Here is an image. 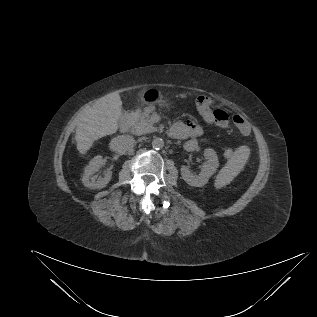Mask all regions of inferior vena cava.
Listing matches in <instances>:
<instances>
[{
	"label": "inferior vena cava",
	"mask_w": 317,
	"mask_h": 317,
	"mask_svg": "<svg viewBox=\"0 0 317 317\" xmlns=\"http://www.w3.org/2000/svg\"><path fill=\"white\" fill-rule=\"evenodd\" d=\"M135 145V139L130 135H120L111 140V150L119 153L130 151Z\"/></svg>",
	"instance_id": "1"
}]
</instances>
